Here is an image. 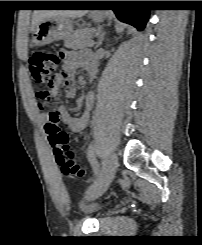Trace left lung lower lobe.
<instances>
[{"mask_svg": "<svg viewBox=\"0 0 202 245\" xmlns=\"http://www.w3.org/2000/svg\"><path fill=\"white\" fill-rule=\"evenodd\" d=\"M95 4H97L96 1L86 2V5L88 6H93ZM113 11L115 12L119 20L136 27L140 31L144 29L149 18V10L145 9L116 8L113 9Z\"/></svg>", "mask_w": 202, "mask_h": 245, "instance_id": "0a47b994", "label": "left lung lower lobe"}]
</instances>
